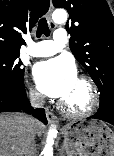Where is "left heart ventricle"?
<instances>
[{
  "instance_id": "obj_1",
  "label": "left heart ventricle",
  "mask_w": 114,
  "mask_h": 156,
  "mask_svg": "<svg viewBox=\"0 0 114 156\" xmlns=\"http://www.w3.org/2000/svg\"><path fill=\"white\" fill-rule=\"evenodd\" d=\"M63 101L73 110H82L86 108L90 102L87 86L77 79L73 89Z\"/></svg>"
}]
</instances>
